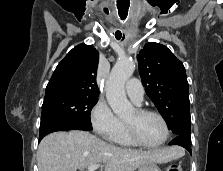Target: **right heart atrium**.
Instances as JSON below:
<instances>
[{
    "instance_id": "d8ad5b80",
    "label": "right heart atrium",
    "mask_w": 223,
    "mask_h": 171,
    "mask_svg": "<svg viewBox=\"0 0 223 171\" xmlns=\"http://www.w3.org/2000/svg\"><path fill=\"white\" fill-rule=\"evenodd\" d=\"M94 132L101 138L112 141L120 130L121 122L104 100H98L90 112Z\"/></svg>"
}]
</instances>
